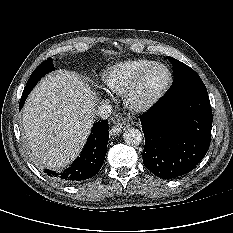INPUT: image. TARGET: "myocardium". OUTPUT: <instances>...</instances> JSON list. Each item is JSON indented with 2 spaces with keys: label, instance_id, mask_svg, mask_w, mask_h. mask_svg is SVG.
<instances>
[{
  "label": "myocardium",
  "instance_id": "myocardium-1",
  "mask_svg": "<svg viewBox=\"0 0 233 233\" xmlns=\"http://www.w3.org/2000/svg\"><path fill=\"white\" fill-rule=\"evenodd\" d=\"M156 67H162L167 72V80L164 85L151 97L140 100L138 99V92L147 77V75ZM173 82V75L169 67L160 62H154L153 64L149 65L145 68L135 79L134 81L128 86L126 91L123 94V100L126 107L136 113H142L150 110L154 107L161 98L166 94L169 90L171 84Z\"/></svg>",
  "mask_w": 233,
  "mask_h": 233
}]
</instances>
